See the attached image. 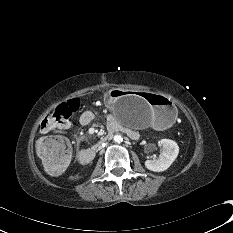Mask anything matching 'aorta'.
<instances>
[{
  "instance_id": "obj_1",
  "label": "aorta",
  "mask_w": 233,
  "mask_h": 233,
  "mask_svg": "<svg viewBox=\"0 0 233 233\" xmlns=\"http://www.w3.org/2000/svg\"><path fill=\"white\" fill-rule=\"evenodd\" d=\"M122 140H123V138H122L121 135L116 134V135L114 136V141H115V142L120 143Z\"/></svg>"
}]
</instances>
